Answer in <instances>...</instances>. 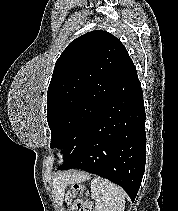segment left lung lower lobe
<instances>
[{
  "label": "left lung lower lobe",
  "instance_id": "left-lung-lower-lobe-1",
  "mask_svg": "<svg viewBox=\"0 0 178 211\" xmlns=\"http://www.w3.org/2000/svg\"><path fill=\"white\" fill-rule=\"evenodd\" d=\"M145 110L131 62L112 89L102 114L58 170L78 168L120 185L135 200L146 162Z\"/></svg>",
  "mask_w": 178,
  "mask_h": 211
}]
</instances>
